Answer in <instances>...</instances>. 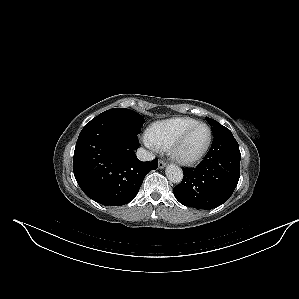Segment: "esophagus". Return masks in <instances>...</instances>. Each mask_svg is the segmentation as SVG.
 Returning a JSON list of instances; mask_svg holds the SVG:
<instances>
[{
    "label": "esophagus",
    "mask_w": 299,
    "mask_h": 299,
    "mask_svg": "<svg viewBox=\"0 0 299 299\" xmlns=\"http://www.w3.org/2000/svg\"><path fill=\"white\" fill-rule=\"evenodd\" d=\"M166 166V162L164 161V160H159V162H158V167L159 168H164Z\"/></svg>",
    "instance_id": "34e87169"
}]
</instances>
